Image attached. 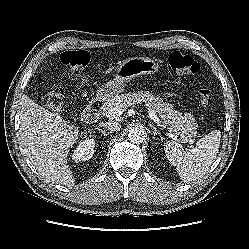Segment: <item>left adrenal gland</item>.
<instances>
[{"label": "left adrenal gland", "instance_id": "obj_1", "mask_svg": "<svg viewBox=\"0 0 249 249\" xmlns=\"http://www.w3.org/2000/svg\"><path fill=\"white\" fill-rule=\"evenodd\" d=\"M150 127L153 129V138L156 139V136H161V133L157 130V128L150 124Z\"/></svg>", "mask_w": 249, "mask_h": 249}]
</instances>
